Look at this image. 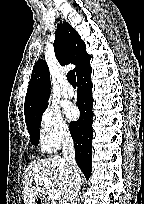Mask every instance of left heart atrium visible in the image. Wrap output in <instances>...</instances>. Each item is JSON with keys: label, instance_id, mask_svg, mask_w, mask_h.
Returning a JSON list of instances; mask_svg holds the SVG:
<instances>
[{"label": "left heart atrium", "instance_id": "left-heart-atrium-1", "mask_svg": "<svg viewBox=\"0 0 144 204\" xmlns=\"http://www.w3.org/2000/svg\"><path fill=\"white\" fill-rule=\"evenodd\" d=\"M66 114L69 119H76L78 117V109L74 105H68L66 107Z\"/></svg>", "mask_w": 144, "mask_h": 204}]
</instances>
